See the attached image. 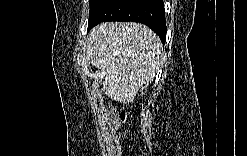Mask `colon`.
Returning <instances> with one entry per match:
<instances>
[{
    "label": "colon",
    "mask_w": 247,
    "mask_h": 156,
    "mask_svg": "<svg viewBox=\"0 0 247 156\" xmlns=\"http://www.w3.org/2000/svg\"><path fill=\"white\" fill-rule=\"evenodd\" d=\"M130 118V113L128 111H123L122 114H121V119L124 121V122H127Z\"/></svg>",
    "instance_id": "obj_1"
}]
</instances>
